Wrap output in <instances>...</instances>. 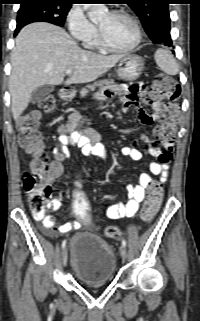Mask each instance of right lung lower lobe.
Listing matches in <instances>:
<instances>
[{"label":"right lung lower lobe","mask_w":200,"mask_h":321,"mask_svg":"<svg viewBox=\"0 0 200 321\" xmlns=\"http://www.w3.org/2000/svg\"><path fill=\"white\" fill-rule=\"evenodd\" d=\"M22 28V26H18L16 27V30H15V35H17V33L19 32V30Z\"/></svg>","instance_id":"obj_1"}]
</instances>
